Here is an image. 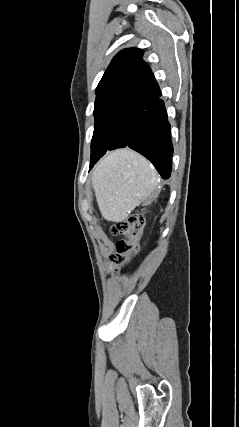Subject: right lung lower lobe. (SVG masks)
Returning <instances> with one entry per match:
<instances>
[{
  "label": "right lung lower lobe",
  "mask_w": 239,
  "mask_h": 427,
  "mask_svg": "<svg viewBox=\"0 0 239 427\" xmlns=\"http://www.w3.org/2000/svg\"><path fill=\"white\" fill-rule=\"evenodd\" d=\"M160 96L147 100V108L136 119L123 147L128 146L145 156L161 177L168 179L172 170L173 146L167 112Z\"/></svg>",
  "instance_id": "1"
}]
</instances>
